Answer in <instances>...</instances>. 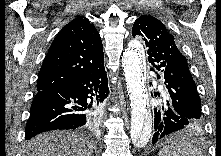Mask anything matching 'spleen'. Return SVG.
Masks as SVG:
<instances>
[{"mask_svg":"<svg viewBox=\"0 0 221 156\" xmlns=\"http://www.w3.org/2000/svg\"><path fill=\"white\" fill-rule=\"evenodd\" d=\"M159 156H201V152L183 139L174 137L160 150Z\"/></svg>","mask_w":221,"mask_h":156,"instance_id":"1","label":"spleen"}]
</instances>
